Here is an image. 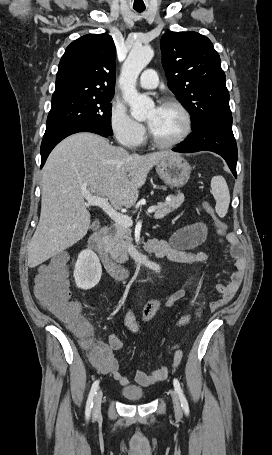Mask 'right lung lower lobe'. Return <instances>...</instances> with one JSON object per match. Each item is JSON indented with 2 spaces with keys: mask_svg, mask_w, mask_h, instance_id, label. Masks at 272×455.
Segmentation results:
<instances>
[{
  "mask_svg": "<svg viewBox=\"0 0 272 455\" xmlns=\"http://www.w3.org/2000/svg\"><path fill=\"white\" fill-rule=\"evenodd\" d=\"M78 132H92L99 134L103 137L111 136L103 129L92 125V124H74V125H65L52 129H47L45 131L42 143H41V168L43 167L49 153L52 149L64 138L67 136L78 133Z\"/></svg>",
  "mask_w": 272,
  "mask_h": 455,
  "instance_id": "right-lung-lower-lobe-1",
  "label": "right lung lower lobe"
}]
</instances>
